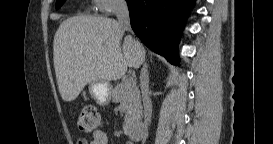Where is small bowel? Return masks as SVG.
Returning <instances> with one entry per match:
<instances>
[{
  "label": "small bowel",
  "mask_w": 273,
  "mask_h": 144,
  "mask_svg": "<svg viewBox=\"0 0 273 144\" xmlns=\"http://www.w3.org/2000/svg\"><path fill=\"white\" fill-rule=\"evenodd\" d=\"M77 144H108V137L103 131H96L92 135V140L88 141L86 138H80Z\"/></svg>",
  "instance_id": "c3829d8e"
}]
</instances>
